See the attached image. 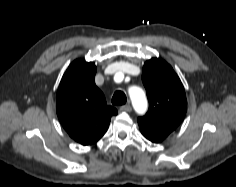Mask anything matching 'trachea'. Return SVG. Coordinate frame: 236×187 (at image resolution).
I'll return each mask as SVG.
<instances>
[{
    "label": "trachea",
    "instance_id": "3493384b",
    "mask_svg": "<svg viewBox=\"0 0 236 187\" xmlns=\"http://www.w3.org/2000/svg\"><path fill=\"white\" fill-rule=\"evenodd\" d=\"M127 101L126 95L123 91H116L112 97V104L116 106L124 105Z\"/></svg>",
    "mask_w": 236,
    "mask_h": 187
}]
</instances>
